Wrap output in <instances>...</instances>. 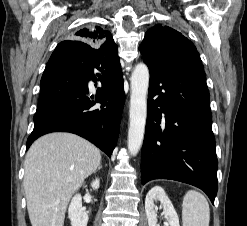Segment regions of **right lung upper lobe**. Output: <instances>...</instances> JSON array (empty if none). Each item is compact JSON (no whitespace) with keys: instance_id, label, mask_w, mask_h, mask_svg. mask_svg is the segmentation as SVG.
<instances>
[{"instance_id":"cb5924a9","label":"right lung upper lobe","mask_w":247,"mask_h":226,"mask_svg":"<svg viewBox=\"0 0 247 226\" xmlns=\"http://www.w3.org/2000/svg\"><path fill=\"white\" fill-rule=\"evenodd\" d=\"M74 39L92 47H98L105 50L116 49L113 37L109 31L100 26H89L75 32ZM119 58V57H118Z\"/></svg>"}]
</instances>
